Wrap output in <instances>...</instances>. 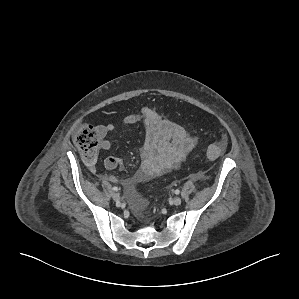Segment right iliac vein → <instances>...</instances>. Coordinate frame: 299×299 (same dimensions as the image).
<instances>
[{
  "instance_id": "obj_1",
  "label": "right iliac vein",
  "mask_w": 299,
  "mask_h": 299,
  "mask_svg": "<svg viewBox=\"0 0 299 299\" xmlns=\"http://www.w3.org/2000/svg\"><path fill=\"white\" fill-rule=\"evenodd\" d=\"M112 198L114 201L118 202L120 200V195L119 193H113Z\"/></svg>"
}]
</instances>
